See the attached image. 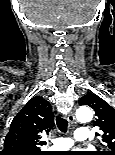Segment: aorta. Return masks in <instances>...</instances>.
Segmentation results:
<instances>
[{
  "label": "aorta",
  "mask_w": 115,
  "mask_h": 155,
  "mask_svg": "<svg viewBox=\"0 0 115 155\" xmlns=\"http://www.w3.org/2000/svg\"><path fill=\"white\" fill-rule=\"evenodd\" d=\"M76 118L81 123L90 122L93 118V111L88 106H82L76 111Z\"/></svg>",
  "instance_id": "obj_1"
}]
</instances>
